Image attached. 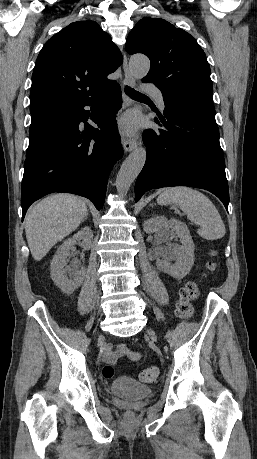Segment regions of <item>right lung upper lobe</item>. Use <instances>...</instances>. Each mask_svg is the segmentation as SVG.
I'll list each match as a JSON object with an SVG mask.
<instances>
[{
    "label": "right lung upper lobe",
    "mask_w": 257,
    "mask_h": 459,
    "mask_svg": "<svg viewBox=\"0 0 257 459\" xmlns=\"http://www.w3.org/2000/svg\"><path fill=\"white\" fill-rule=\"evenodd\" d=\"M121 63L118 47L96 22L71 23L51 37L38 55L30 112L102 95L116 83L107 76Z\"/></svg>",
    "instance_id": "1"
}]
</instances>
